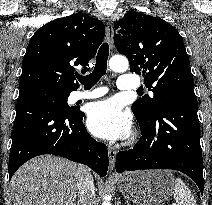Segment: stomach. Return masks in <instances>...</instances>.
<instances>
[{"instance_id":"stomach-1","label":"stomach","mask_w":212,"mask_h":205,"mask_svg":"<svg viewBox=\"0 0 212 205\" xmlns=\"http://www.w3.org/2000/svg\"><path fill=\"white\" fill-rule=\"evenodd\" d=\"M122 195L136 205H159L167 201L174 188V177L168 170H144L117 178Z\"/></svg>"}]
</instances>
